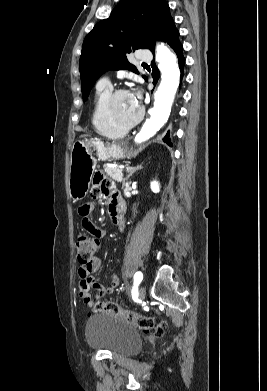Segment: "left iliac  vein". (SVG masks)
Wrapping results in <instances>:
<instances>
[{
    "mask_svg": "<svg viewBox=\"0 0 267 391\" xmlns=\"http://www.w3.org/2000/svg\"><path fill=\"white\" fill-rule=\"evenodd\" d=\"M146 296V288L144 286H142L140 289H139V294H138V297L139 299H144Z\"/></svg>",
    "mask_w": 267,
    "mask_h": 391,
    "instance_id": "1",
    "label": "left iliac vein"
}]
</instances>
